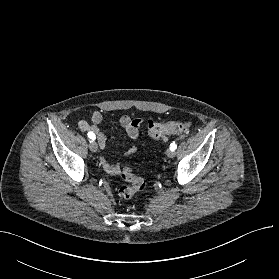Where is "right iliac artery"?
Listing matches in <instances>:
<instances>
[{
    "label": "right iliac artery",
    "instance_id": "82829eb1",
    "mask_svg": "<svg viewBox=\"0 0 279 279\" xmlns=\"http://www.w3.org/2000/svg\"><path fill=\"white\" fill-rule=\"evenodd\" d=\"M88 137H89L91 140H94V139H95V135H94V133H92V132H89V133H88Z\"/></svg>",
    "mask_w": 279,
    "mask_h": 279
}]
</instances>
